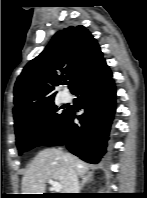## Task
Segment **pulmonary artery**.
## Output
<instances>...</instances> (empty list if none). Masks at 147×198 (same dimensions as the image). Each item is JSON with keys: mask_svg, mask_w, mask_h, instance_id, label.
Masks as SVG:
<instances>
[{"mask_svg": "<svg viewBox=\"0 0 147 198\" xmlns=\"http://www.w3.org/2000/svg\"><path fill=\"white\" fill-rule=\"evenodd\" d=\"M61 100L62 102L67 103L71 100V95L68 92H63L61 94Z\"/></svg>", "mask_w": 147, "mask_h": 198, "instance_id": "obj_1", "label": "pulmonary artery"}]
</instances>
